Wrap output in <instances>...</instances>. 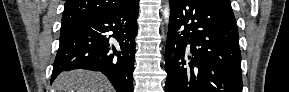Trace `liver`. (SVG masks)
<instances>
[{
	"mask_svg": "<svg viewBox=\"0 0 289 92\" xmlns=\"http://www.w3.org/2000/svg\"><path fill=\"white\" fill-rule=\"evenodd\" d=\"M53 92H113V88L101 73L73 70L63 72L55 79Z\"/></svg>",
	"mask_w": 289,
	"mask_h": 92,
	"instance_id": "obj_1",
	"label": "liver"
}]
</instances>
